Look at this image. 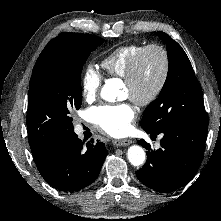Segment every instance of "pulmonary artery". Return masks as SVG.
<instances>
[{
	"label": "pulmonary artery",
	"instance_id": "obj_1",
	"mask_svg": "<svg viewBox=\"0 0 221 221\" xmlns=\"http://www.w3.org/2000/svg\"><path fill=\"white\" fill-rule=\"evenodd\" d=\"M76 130H77V131H81V127H80V126H77V127H76Z\"/></svg>",
	"mask_w": 221,
	"mask_h": 221
}]
</instances>
